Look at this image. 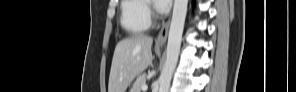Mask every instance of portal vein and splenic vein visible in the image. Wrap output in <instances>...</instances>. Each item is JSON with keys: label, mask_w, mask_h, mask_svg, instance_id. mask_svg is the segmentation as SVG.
I'll return each mask as SVG.
<instances>
[{"label": "portal vein and splenic vein", "mask_w": 296, "mask_h": 92, "mask_svg": "<svg viewBox=\"0 0 296 92\" xmlns=\"http://www.w3.org/2000/svg\"><path fill=\"white\" fill-rule=\"evenodd\" d=\"M147 88H148V86H147L146 84L142 85V87H141V89H142L143 91L147 90Z\"/></svg>", "instance_id": "obj_1"}]
</instances>
